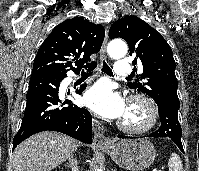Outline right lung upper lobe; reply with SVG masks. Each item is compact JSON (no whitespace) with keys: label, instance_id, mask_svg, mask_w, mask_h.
Masks as SVG:
<instances>
[{"label":"right lung upper lobe","instance_id":"1","mask_svg":"<svg viewBox=\"0 0 199 171\" xmlns=\"http://www.w3.org/2000/svg\"><path fill=\"white\" fill-rule=\"evenodd\" d=\"M104 35L102 25L91 23L83 17L65 20L42 43L34 60L32 75H66L69 70L79 72L82 67H91L96 63H88L90 55L100 51ZM84 63L87 65L84 66Z\"/></svg>","mask_w":199,"mask_h":171}]
</instances>
